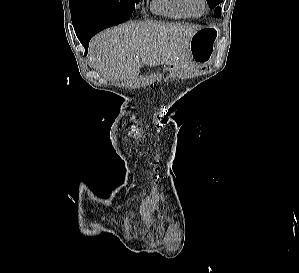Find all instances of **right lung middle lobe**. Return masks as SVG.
<instances>
[{
    "label": "right lung middle lobe",
    "instance_id": "dd1d6c3e",
    "mask_svg": "<svg viewBox=\"0 0 299 273\" xmlns=\"http://www.w3.org/2000/svg\"><path fill=\"white\" fill-rule=\"evenodd\" d=\"M140 0H69L72 22L130 14Z\"/></svg>",
    "mask_w": 299,
    "mask_h": 273
}]
</instances>
